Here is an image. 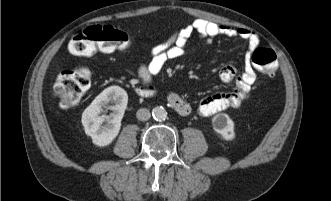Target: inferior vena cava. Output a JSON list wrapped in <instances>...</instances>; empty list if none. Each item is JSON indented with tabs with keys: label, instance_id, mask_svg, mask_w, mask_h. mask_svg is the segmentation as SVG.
<instances>
[{
	"label": "inferior vena cava",
	"instance_id": "obj_1",
	"mask_svg": "<svg viewBox=\"0 0 331 201\" xmlns=\"http://www.w3.org/2000/svg\"><path fill=\"white\" fill-rule=\"evenodd\" d=\"M136 117L140 121H147L150 119L151 113L146 108H140L136 113Z\"/></svg>",
	"mask_w": 331,
	"mask_h": 201
}]
</instances>
